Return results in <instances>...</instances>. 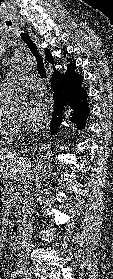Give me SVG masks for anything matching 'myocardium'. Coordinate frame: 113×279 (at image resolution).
<instances>
[{
    "instance_id": "f54148a6",
    "label": "myocardium",
    "mask_w": 113,
    "mask_h": 279,
    "mask_svg": "<svg viewBox=\"0 0 113 279\" xmlns=\"http://www.w3.org/2000/svg\"><path fill=\"white\" fill-rule=\"evenodd\" d=\"M9 122H10L11 124H15V121H13V120H9Z\"/></svg>"
}]
</instances>
